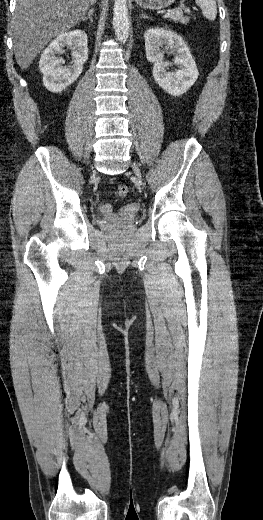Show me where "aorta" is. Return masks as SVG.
<instances>
[{
	"label": "aorta",
	"instance_id": "1",
	"mask_svg": "<svg viewBox=\"0 0 263 520\" xmlns=\"http://www.w3.org/2000/svg\"><path fill=\"white\" fill-rule=\"evenodd\" d=\"M113 12V27L116 39L121 43H125L129 38L127 0H115Z\"/></svg>",
	"mask_w": 263,
	"mask_h": 520
}]
</instances>
